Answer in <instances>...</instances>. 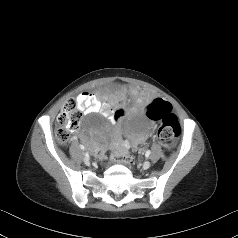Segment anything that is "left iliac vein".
<instances>
[{
  "label": "left iliac vein",
  "instance_id": "obj_1",
  "mask_svg": "<svg viewBox=\"0 0 238 238\" xmlns=\"http://www.w3.org/2000/svg\"><path fill=\"white\" fill-rule=\"evenodd\" d=\"M142 166H143V169H148L151 166V164L149 161H145Z\"/></svg>",
  "mask_w": 238,
  "mask_h": 238
}]
</instances>
